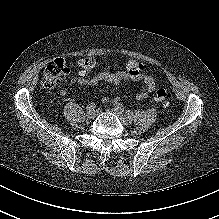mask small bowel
<instances>
[{"label": "small bowel", "instance_id": "small-bowel-1", "mask_svg": "<svg viewBox=\"0 0 219 219\" xmlns=\"http://www.w3.org/2000/svg\"><path fill=\"white\" fill-rule=\"evenodd\" d=\"M85 60L80 61L81 70L78 75L72 78L69 82V87L73 85H87L94 86L97 83L104 81L107 83L118 84L122 81L130 82H143L145 87L142 91L136 94V100H143L147 98L155 89V80L152 75L142 72V64L135 61L129 60L126 64V71H104L95 74H91V69L94 66V60L92 61L91 67L85 66ZM67 93V89H62L59 93L61 97H64ZM104 104H108L109 100L107 98L103 99Z\"/></svg>", "mask_w": 219, "mask_h": 219}]
</instances>
